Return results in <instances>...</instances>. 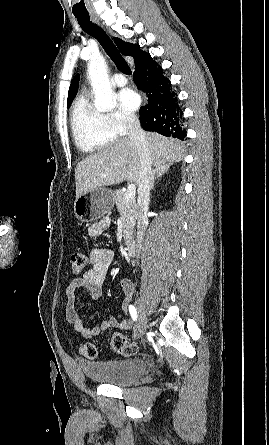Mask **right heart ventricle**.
I'll return each instance as SVG.
<instances>
[{
	"label": "right heart ventricle",
	"instance_id": "obj_1",
	"mask_svg": "<svg viewBox=\"0 0 269 445\" xmlns=\"http://www.w3.org/2000/svg\"><path fill=\"white\" fill-rule=\"evenodd\" d=\"M70 123L75 144L84 153L96 152L116 138L106 123L105 114L91 105L85 93L74 102Z\"/></svg>",
	"mask_w": 269,
	"mask_h": 445
}]
</instances>
